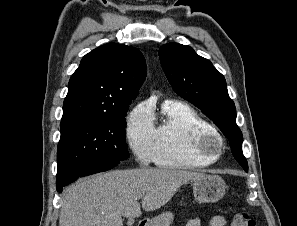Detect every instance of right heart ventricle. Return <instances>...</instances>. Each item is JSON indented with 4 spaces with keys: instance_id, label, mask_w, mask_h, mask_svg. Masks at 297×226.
Wrapping results in <instances>:
<instances>
[{
    "instance_id": "1",
    "label": "right heart ventricle",
    "mask_w": 297,
    "mask_h": 226,
    "mask_svg": "<svg viewBox=\"0 0 297 226\" xmlns=\"http://www.w3.org/2000/svg\"><path fill=\"white\" fill-rule=\"evenodd\" d=\"M155 127L154 161L158 166L176 169H196L215 162L196 154L192 147L195 135L212 125L193 107L178 100H167L158 118L152 113Z\"/></svg>"
}]
</instances>
